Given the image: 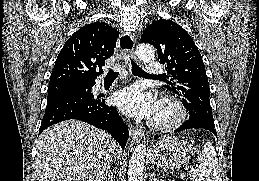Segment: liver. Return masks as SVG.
<instances>
[{
  "label": "liver",
  "mask_w": 259,
  "mask_h": 181,
  "mask_svg": "<svg viewBox=\"0 0 259 181\" xmlns=\"http://www.w3.org/2000/svg\"><path fill=\"white\" fill-rule=\"evenodd\" d=\"M122 150L104 131L78 120L45 129L37 142L38 181H105Z\"/></svg>",
  "instance_id": "obj_1"
}]
</instances>
